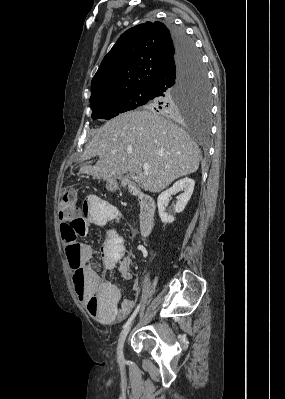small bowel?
Returning <instances> with one entry per match:
<instances>
[{
  "mask_svg": "<svg viewBox=\"0 0 285 399\" xmlns=\"http://www.w3.org/2000/svg\"><path fill=\"white\" fill-rule=\"evenodd\" d=\"M81 217L85 223V226L80 229V235L82 236L87 234L89 227H100L107 224L109 207L100 197L89 196L82 202ZM79 246V264L83 268L84 282L83 289L77 292V296L86 305L94 319L104 323L122 321L133 310L135 301L133 299H125L118 305L120 300L119 289L108 281H102L99 273L91 264V260L97 252L95 247L84 243H80ZM102 260L108 267L117 261L118 270L122 276L127 280L133 279V274L130 270V257L117 258L111 248L105 245L102 250ZM68 264L70 266L69 261ZM138 288L139 283L134 279L132 289L135 294ZM97 300L100 301V305L97 306L95 304L94 306V301Z\"/></svg>",
  "mask_w": 285,
  "mask_h": 399,
  "instance_id": "c3829d8e",
  "label": "small bowel"
}]
</instances>
